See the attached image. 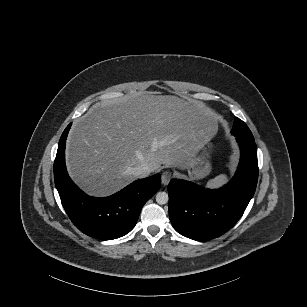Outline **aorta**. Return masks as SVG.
<instances>
[{
	"label": "aorta",
	"instance_id": "762f6f07",
	"mask_svg": "<svg viewBox=\"0 0 307 307\" xmlns=\"http://www.w3.org/2000/svg\"><path fill=\"white\" fill-rule=\"evenodd\" d=\"M168 194L166 192H158L156 194V202L160 205L166 204L168 202Z\"/></svg>",
	"mask_w": 307,
	"mask_h": 307
}]
</instances>
